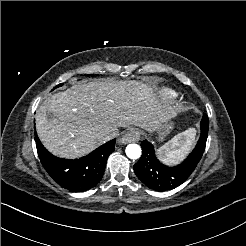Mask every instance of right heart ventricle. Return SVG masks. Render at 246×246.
<instances>
[{
	"instance_id": "right-heart-ventricle-1",
	"label": "right heart ventricle",
	"mask_w": 246,
	"mask_h": 246,
	"mask_svg": "<svg viewBox=\"0 0 246 246\" xmlns=\"http://www.w3.org/2000/svg\"><path fill=\"white\" fill-rule=\"evenodd\" d=\"M160 97H161V101H166L168 98L172 97L174 94L171 91L168 90H161L160 92Z\"/></svg>"
}]
</instances>
